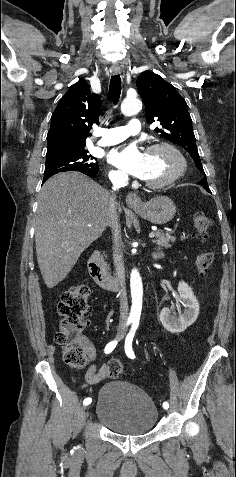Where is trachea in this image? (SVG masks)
Instances as JSON below:
<instances>
[{
	"instance_id": "1",
	"label": "trachea",
	"mask_w": 236,
	"mask_h": 477,
	"mask_svg": "<svg viewBox=\"0 0 236 477\" xmlns=\"http://www.w3.org/2000/svg\"><path fill=\"white\" fill-rule=\"evenodd\" d=\"M121 94V78L119 75L111 77L109 95L114 104H117Z\"/></svg>"
}]
</instances>
